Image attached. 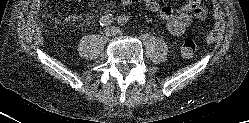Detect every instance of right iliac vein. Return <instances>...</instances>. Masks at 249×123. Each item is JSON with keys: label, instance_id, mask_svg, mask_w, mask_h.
I'll return each mask as SVG.
<instances>
[{"label": "right iliac vein", "instance_id": "obj_1", "mask_svg": "<svg viewBox=\"0 0 249 123\" xmlns=\"http://www.w3.org/2000/svg\"><path fill=\"white\" fill-rule=\"evenodd\" d=\"M105 34H106V36H112V35H114L115 34L114 28H112V27L106 28L105 29Z\"/></svg>", "mask_w": 249, "mask_h": 123}]
</instances>
